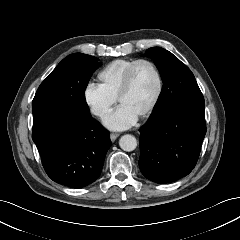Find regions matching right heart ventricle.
I'll list each match as a JSON object with an SVG mask.
<instances>
[{"label":"right heart ventricle","instance_id":"1","mask_svg":"<svg viewBox=\"0 0 240 240\" xmlns=\"http://www.w3.org/2000/svg\"><path fill=\"white\" fill-rule=\"evenodd\" d=\"M135 59H116L105 65L98 73L99 85L111 97L117 98L124 74Z\"/></svg>","mask_w":240,"mask_h":240}]
</instances>
